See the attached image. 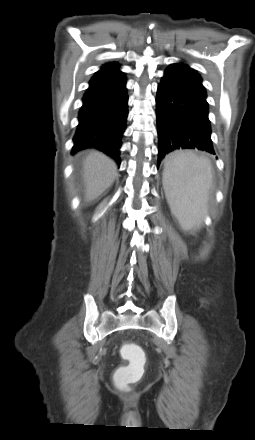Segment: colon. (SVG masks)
Instances as JSON below:
<instances>
[{"label":"colon","mask_w":255,"mask_h":440,"mask_svg":"<svg viewBox=\"0 0 255 440\" xmlns=\"http://www.w3.org/2000/svg\"><path fill=\"white\" fill-rule=\"evenodd\" d=\"M121 355L125 360L129 361V364L118 372L117 384L125 387L141 377L144 356L142 350L132 343L124 344L121 347Z\"/></svg>","instance_id":"colon-1"}]
</instances>
